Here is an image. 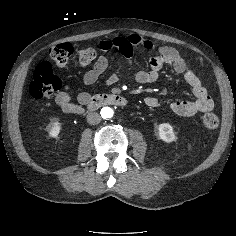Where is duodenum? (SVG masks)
<instances>
[{
	"label": "duodenum",
	"mask_w": 236,
	"mask_h": 236,
	"mask_svg": "<svg viewBox=\"0 0 236 236\" xmlns=\"http://www.w3.org/2000/svg\"><path fill=\"white\" fill-rule=\"evenodd\" d=\"M126 104L127 100L118 94H97L94 96H89L85 102V105L91 110L107 105L124 107Z\"/></svg>",
	"instance_id": "obj_1"
}]
</instances>
